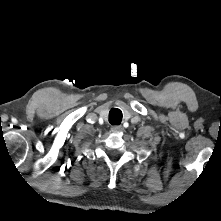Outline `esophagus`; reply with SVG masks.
I'll return each mask as SVG.
<instances>
[{
	"label": "esophagus",
	"mask_w": 221,
	"mask_h": 221,
	"mask_svg": "<svg viewBox=\"0 0 221 221\" xmlns=\"http://www.w3.org/2000/svg\"><path fill=\"white\" fill-rule=\"evenodd\" d=\"M111 131L114 132V133L122 132L123 131V127L120 126V125H116V126L111 127Z\"/></svg>",
	"instance_id": "esophagus-1"
}]
</instances>
